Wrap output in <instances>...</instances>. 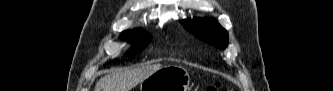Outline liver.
I'll return each instance as SVG.
<instances>
[{
	"label": "liver",
	"instance_id": "1",
	"mask_svg": "<svg viewBox=\"0 0 333 91\" xmlns=\"http://www.w3.org/2000/svg\"><path fill=\"white\" fill-rule=\"evenodd\" d=\"M161 67V64H148L138 68L118 70L102 77L96 83L95 91H131L134 86Z\"/></svg>",
	"mask_w": 333,
	"mask_h": 91
}]
</instances>
